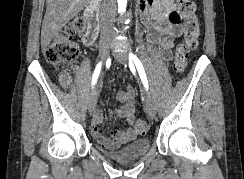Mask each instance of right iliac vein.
<instances>
[{
    "instance_id": "right-iliac-vein-1",
    "label": "right iliac vein",
    "mask_w": 244,
    "mask_h": 179,
    "mask_svg": "<svg viewBox=\"0 0 244 179\" xmlns=\"http://www.w3.org/2000/svg\"><path fill=\"white\" fill-rule=\"evenodd\" d=\"M109 47H110V43L106 42L100 48L99 56L104 62L107 60ZM99 84H100V80L96 81L95 86L89 95L88 109L90 112H92V110L96 107Z\"/></svg>"
}]
</instances>
